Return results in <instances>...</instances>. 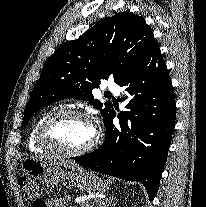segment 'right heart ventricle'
<instances>
[{"label": "right heart ventricle", "instance_id": "right-heart-ventricle-1", "mask_svg": "<svg viewBox=\"0 0 206 207\" xmlns=\"http://www.w3.org/2000/svg\"><path fill=\"white\" fill-rule=\"evenodd\" d=\"M55 111H58V108H52L44 113H42L37 120L35 121V123L33 124L29 135H28V148L30 151L32 152H44L46 151L44 148L40 147L37 143H36V130L38 128V126L40 125V123L49 115H51L52 113H54Z\"/></svg>", "mask_w": 206, "mask_h": 207}]
</instances>
